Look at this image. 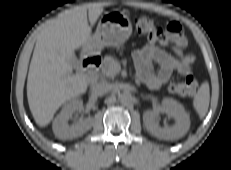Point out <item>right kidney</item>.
Listing matches in <instances>:
<instances>
[{
	"instance_id": "ca27d5eb",
	"label": "right kidney",
	"mask_w": 231,
	"mask_h": 170,
	"mask_svg": "<svg viewBox=\"0 0 231 170\" xmlns=\"http://www.w3.org/2000/svg\"><path fill=\"white\" fill-rule=\"evenodd\" d=\"M82 108L83 101L81 99H73L63 107L61 112L54 119L52 126L53 132L57 138L62 140L74 139L82 136L91 129L94 123L91 117L81 119L71 126L68 124L72 114Z\"/></svg>"
}]
</instances>
